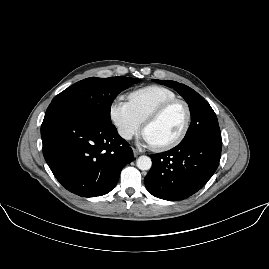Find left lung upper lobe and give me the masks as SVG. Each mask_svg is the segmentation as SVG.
<instances>
[{
	"mask_svg": "<svg viewBox=\"0 0 269 269\" xmlns=\"http://www.w3.org/2000/svg\"><path fill=\"white\" fill-rule=\"evenodd\" d=\"M159 84L173 87L188 103L191 112V124L181 141L190 143L201 138H219L221 132L215 112L209 103L190 87L170 80H153Z\"/></svg>",
	"mask_w": 269,
	"mask_h": 269,
	"instance_id": "5c2ea615",
	"label": "left lung upper lobe"
}]
</instances>
